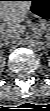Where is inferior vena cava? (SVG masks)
I'll return each mask as SVG.
<instances>
[{
    "label": "inferior vena cava",
    "mask_w": 50,
    "mask_h": 111,
    "mask_svg": "<svg viewBox=\"0 0 50 111\" xmlns=\"http://www.w3.org/2000/svg\"><path fill=\"white\" fill-rule=\"evenodd\" d=\"M20 38H21L20 32H8V33L1 35V39L7 44L15 43V42L19 41Z\"/></svg>",
    "instance_id": "inferior-vena-cava-1"
}]
</instances>
